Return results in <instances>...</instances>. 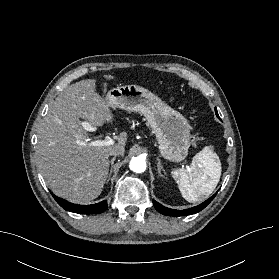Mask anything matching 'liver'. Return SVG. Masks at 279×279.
<instances>
[{"instance_id":"1","label":"liver","mask_w":279,"mask_h":279,"mask_svg":"<svg viewBox=\"0 0 279 279\" xmlns=\"http://www.w3.org/2000/svg\"><path fill=\"white\" fill-rule=\"evenodd\" d=\"M110 108L115 107L107 95L101 97L96 92L94 79L68 86L49 107L38 129L36 155L47 185L57 196L86 203L101 194L108 178L109 152L125 148L127 133L121 132L113 145L90 146L80 118L90 126L100 127L114 120Z\"/></svg>"}]
</instances>
